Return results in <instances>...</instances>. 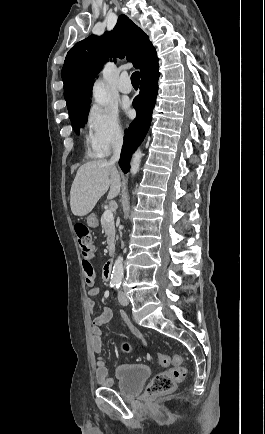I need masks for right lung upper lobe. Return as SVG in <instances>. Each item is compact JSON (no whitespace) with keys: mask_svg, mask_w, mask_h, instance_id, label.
Masks as SVG:
<instances>
[{"mask_svg":"<svg viewBox=\"0 0 265 434\" xmlns=\"http://www.w3.org/2000/svg\"><path fill=\"white\" fill-rule=\"evenodd\" d=\"M148 36L126 15H120L115 28L103 36L94 35L76 43L67 53L62 69L67 103L91 96L94 79L111 58H124L136 68L155 56Z\"/></svg>","mask_w":265,"mask_h":434,"instance_id":"right-lung-upper-lobe-1","label":"right lung upper lobe"}]
</instances>
